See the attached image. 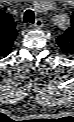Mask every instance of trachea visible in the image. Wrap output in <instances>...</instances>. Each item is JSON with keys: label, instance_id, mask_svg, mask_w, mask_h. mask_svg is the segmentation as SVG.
<instances>
[{"label": "trachea", "instance_id": "trachea-1", "mask_svg": "<svg viewBox=\"0 0 74 122\" xmlns=\"http://www.w3.org/2000/svg\"><path fill=\"white\" fill-rule=\"evenodd\" d=\"M23 20L25 23L33 24L35 21L34 11H32L31 9L26 10V12L24 13Z\"/></svg>", "mask_w": 74, "mask_h": 122}]
</instances>
